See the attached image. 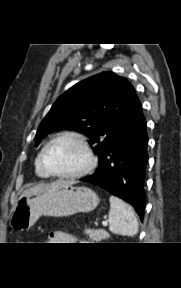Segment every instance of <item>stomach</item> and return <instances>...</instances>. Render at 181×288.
Here are the masks:
<instances>
[{
	"mask_svg": "<svg viewBox=\"0 0 181 288\" xmlns=\"http://www.w3.org/2000/svg\"><path fill=\"white\" fill-rule=\"evenodd\" d=\"M99 203L96 193L58 181L44 190L19 198L10 218V226L19 231L30 229L42 216L67 217L93 211Z\"/></svg>",
	"mask_w": 181,
	"mask_h": 288,
	"instance_id": "stomach-1",
	"label": "stomach"
}]
</instances>
